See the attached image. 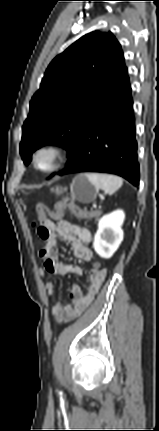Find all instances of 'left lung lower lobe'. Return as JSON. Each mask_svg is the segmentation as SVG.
I'll use <instances>...</instances> for the list:
<instances>
[{
    "instance_id": "1",
    "label": "left lung lower lobe",
    "mask_w": 159,
    "mask_h": 431,
    "mask_svg": "<svg viewBox=\"0 0 159 431\" xmlns=\"http://www.w3.org/2000/svg\"><path fill=\"white\" fill-rule=\"evenodd\" d=\"M104 172L122 176L139 185V163L128 76L103 107L84 125L67 167L59 175Z\"/></svg>"
}]
</instances>
